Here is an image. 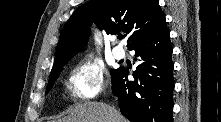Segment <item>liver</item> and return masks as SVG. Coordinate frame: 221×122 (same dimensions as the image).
<instances>
[{
	"label": "liver",
	"mask_w": 221,
	"mask_h": 122,
	"mask_svg": "<svg viewBox=\"0 0 221 122\" xmlns=\"http://www.w3.org/2000/svg\"><path fill=\"white\" fill-rule=\"evenodd\" d=\"M59 122H127L115 108L100 102L77 103Z\"/></svg>",
	"instance_id": "obj_1"
}]
</instances>
